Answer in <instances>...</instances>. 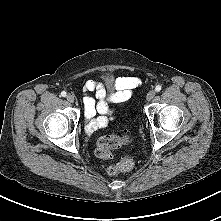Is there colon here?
<instances>
[{
	"mask_svg": "<svg viewBox=\"0 0 221 221\" xmlns=\"http://www.w3.org/2000/svg\"><path fill=\"white\" fill-rule=\"evenodd\" d=\"M132 141V135L129 130H125L122 134L106 135L99 139L95 150L96 155L102 159H108L111 156V151L124 144ZM134 159L131 155L123 156L120 161L111 165L107 172L110 176H116L121 173L130 171L134 167Z\"/></svg>",
	"mask_w": 221,
	"mask_h": 221,
	"instance_id": "obj_1",
	"label": "colon"
}]
</instances>
